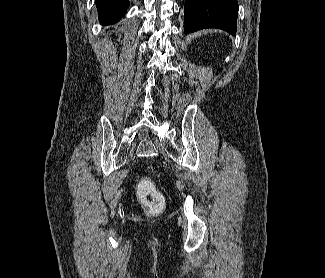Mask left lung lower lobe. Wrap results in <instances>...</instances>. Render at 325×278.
I'll use <instances>...</instances> for the list:
<instances>
[{
  "label": "left lung lower lobe",
  "instance_id": "left-lung-lower-lobe-1",
  "mask_svg": "<svg viewBox=\"0 0 325 278\" xmlns=\"http://www.w3.org/2000/svg\"><path fill=\"white\" fill-rule=\"evenodd\" d=\"M237 0H185V33L218 28L236 35Z\"/></svg>",
  "mask_w": 325,
  "mask_h": 278
}]
</instances>
